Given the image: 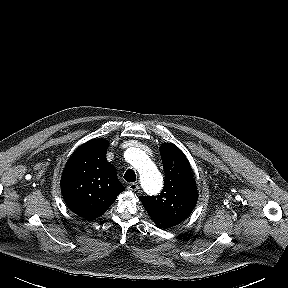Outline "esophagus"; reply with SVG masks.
I'll return each mask as SVG.
<instances>
[{
    "instance_id": "34e87169",
    "label": "esophagus",
    "mask_w": 288,
    "mask_h": 288,
    "mask_svg": "<svg viewBox=\"0 0 288 288\" xmlns=\"http://www.w3.org/2000/svg\"><path fill=\"white\" fill-rule=\"evenodd\" d=\"M127 189H128L129 191L135 192V191H137V190L139 189V186H138L137 183H130V184L127 186Z\"/></svg>"
}]
</instances>
